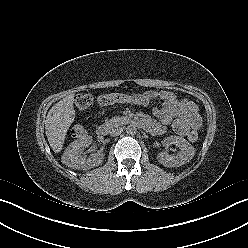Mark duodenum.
Here are the masks:
<instances>
[{
  "mask_svg": "<svg viewBox=\"0 0 248 248\" xmlns=\"http://www.w3.org/2000/svg\"><path fill=\"white\" fill-rule=\"evenodd\" d=\"M96 134L100 137H105L108 134V128L106 125L101 124L96 129Z\"/></svg>",
  "mask_w": 248,
  "mask_h": 248,
  "instance_id": "410a0bca",
  "label": "duodenum"
}]
</instances>
